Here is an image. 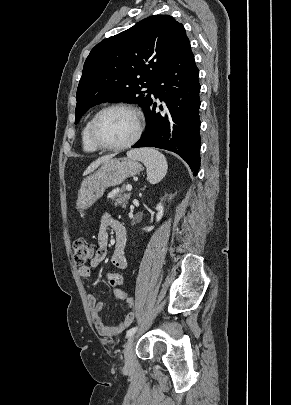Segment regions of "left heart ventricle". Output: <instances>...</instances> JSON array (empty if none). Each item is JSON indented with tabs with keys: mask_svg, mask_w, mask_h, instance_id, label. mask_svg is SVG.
<instances>
[{
	"mask_svg": "<svg viewBox=\"0 0 291 405\" xmlns=\"http://www.w3.org/2000/svg\"><path fill=\"white\" fill-rule=\"evenodd\" d=\"M136 131L135 116L126 110L105 112L96 125L97 138L108 145H119L132 138Z\"/></svg>",
	"mask_w": 291,
	"mask_h": 405,
	"instance_id": "left-heart-ventricle-1",
	"label": "left heart ventricle"
}]
</instances>
